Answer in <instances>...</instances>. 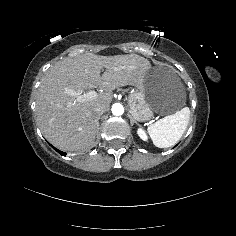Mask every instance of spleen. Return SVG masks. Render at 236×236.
I'll use <instances>...</instances> for the list:
<instances>
[{"label":"spleen","instance_id":"spleen-1","mask_svg":"<svg viewBox=\"0 0 236 236\" xmlns=\"http://www.w3.org/2000/svg\"><path fill=\"white\" fill-rule=\"evenodd\" d=\"M190 119V109L184 107L175 114L166 116L148 127L156 147L167 148L175 145L185 132Z\"/></svg>","mask_w":236,"mask_h":236}]
</instances>
